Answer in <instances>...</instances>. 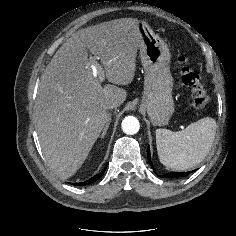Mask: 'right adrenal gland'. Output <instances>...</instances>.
Wrapping results in <instances>:
<instances>
[{
	"label": "right adrenal gland",
	"mask_w": 236,
	"mask_h": 236,
	"mask_svg": "<svg viewBox=\"0 0 236 236\" xmlns=\"http://www.w3.org/2000/svg\"><path fill=\"white\" fill-rule=\"evenodd\" d=\"M110 123H111V117L109 118L108 122L106 123L104 129H103V132L101 134V138H104V136L106 135L107 131H108V128L110 126Z\"/></svg>",
	"instance_id": "obj_1"
}]
</instances>
